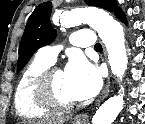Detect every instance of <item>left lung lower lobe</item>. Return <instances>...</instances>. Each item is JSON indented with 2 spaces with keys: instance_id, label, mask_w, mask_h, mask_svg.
Wrapping results in <instances>:
<instances>
[{
  "instance_id": "0a47b994",
  "label": "left lung lower lobe",
  "mask_w": 145,
  "mask_h": 124,
  "mask_svg": "<svg viewBox=\"0 0 145 124\" xmlns=\"http://www.w3.org/2000/svg\"><path fill=\"white\" fill-rule=\"evenodd\" d=\"M117 17H118L119 19H121L123 22H126L124 13H123L122 11L117 15Z\"/></svg>"
}]
</instances>
